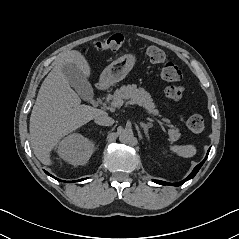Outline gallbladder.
<instances>
[{"label": "gallbladder", "mask_w": 239, "mask_h": 239, "mask_svg": "<svg viewBox=\"0 0 239 239\" xmlns=\"http://www.w3.org/2000/svg\"><path fill=\"white\" fill-rule=\"evenodd\" d=\"M70 85L83 97L89 98L92 93V87L85 75L75 64H66L62 68Z\"/></svg>", "instance_id": "gallbladder-1"}]
</instances>
